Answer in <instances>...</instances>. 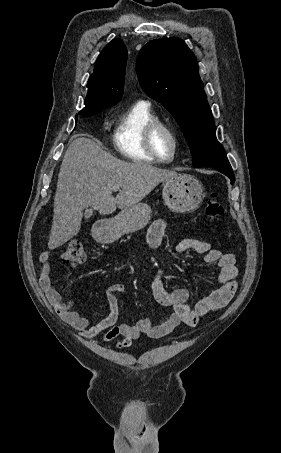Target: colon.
Listing matches in <instances>:
<instances>
[{
  "label": "colon",
  "mask_w": 281,
  "mask_h": 453,
  "mask_svg": "<svg viewBox=\"0 0 281 453\" xmlns=\"http://www.w3.org/2000/svg\"><path fill=\"white\" fill-rule=\"evenodd\" d=\"M205 215L206 220L211 224H218L224 220L225 213L219 196L212 195L205 199ZM61 259L63 262H86L88 253L84 248L83 240L80 238L69 239Z\"/></svg>",
  "instance_id": "1"
}]
</instances>
